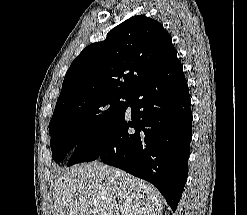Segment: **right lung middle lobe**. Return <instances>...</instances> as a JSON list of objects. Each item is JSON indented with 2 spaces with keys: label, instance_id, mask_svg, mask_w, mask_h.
I'll list each match as a JSON object with an SVG mask.
<instances>
[{
  "label": "right lung middle lobe",
  "instance_id": "dd1d6c3e",
  "mask_svg": "<svg viewBox=\"0 0 247 215\" xmlns=\"http://www.w3.org/2000/svg\"><path fill=\"white\" fill-rule=\"evenodd\" d=\"M128 95L102 94L68 103L49 123L53 159L62 161L82 141L113 122L126 109Z\"/></svg>",
  "mask_w": 247,
  "mask_h": 215
}]
</instances>
